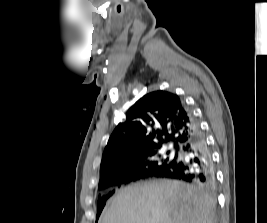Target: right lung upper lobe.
<instances>
[{
    "label": "right lung upper lobe",
    "mask_w": 267,
    "mask_h": 223,
    "mask_svg": "<svg viewBox=\"0 0 267 223\" xmlns=\"http://www.w3.org/2000/svg\"><path fill=\"white\" fill-rule=\"evenodd\" d=\"M109 138L100 165V180L118 171L136 173L138 160L164 145L180 148L197 134V123L180 97L167 91L144 95L126 113Z\"/></svg>",
    "instance_id": "obj_1"
}]
</instances>
